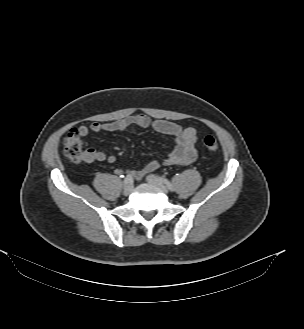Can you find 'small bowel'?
I'll return each instance as SVG.
<instances>
[{
	"mask_svg": "<svg viewBox=\"0 0 304 329\" xmlns=\"http://www.w3.org/2000/svg\"><path fill=\"white\" fill-rule=\"evenodd\" d=\"M131 126L152 128L156 132L169 135L174 138V148L163 160L165 165L190 164L195 161L197 157L198 137L197 132L193 127L184 128L174 122L163 119H151L147 115L138 114L120 118L111 122H93L89 126L81 125L77 129L82 136H86L90 132H120ZM82 160L86 163H91L94 161H107L109 163H114L116 161V157L114 155H107L106 153L98 151L94 148H89L85 150ZM159 166V160H152L143 169L139 171H130V174L136 179H141L146 174L158 169ZM116 172L118 174L122 173L120 169L116 170Z\"/></svg>",
	"mask_w": 304,
	"mask_h": 329,
	"instance_id": "obj_1",
	"label": "small bowel"
}]
</instances>
